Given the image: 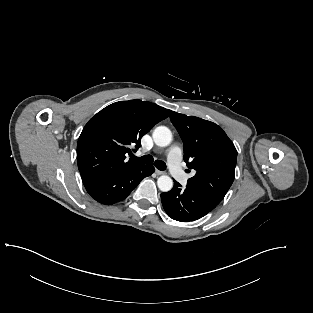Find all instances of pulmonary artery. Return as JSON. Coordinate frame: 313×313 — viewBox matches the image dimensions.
I'll list each match as a JSON object with an SVG mask.
<instances>
[{
	"mask_svg": "<svg viewBox=\"0 0 313 313\" xmlns=\"http://www.w3.org/2000/svg\"><path fill=\"white\" fill-rule=\"evenodd\" d=\"M181 158L182 149L178 145H174L168 150V166L172 176L181 184H186L188 176L181 167Z\"/></svg>",
	"mask_w": 313,
	"mask_h": 313,
	"instance_id": "1",
	"label": "pulmonary artery"
}]
</instances>
